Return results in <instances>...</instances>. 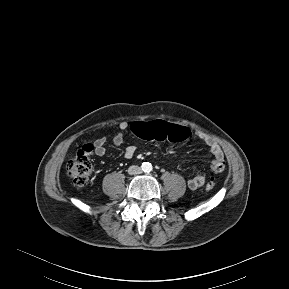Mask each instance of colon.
Masks as SVG:
<instances>
[{"mask_svg":"<svg viewBox=\"0 0 289 289\" xmlns=\"http://www.w3.org/2000/svg\"><path fill=\"white\" fill-rule=\"evenodd\" d=\"M133 132L138 137L172 142L184 141L189 137V131L186 128L172 125L169 121L162 119L138 120L133 125ZM93 149L91 144L84 145L78 150L75 157L67 163V174L78 189L85 187L89 181ZM205 188L207 190L214 189L215 182L209 180Z\"/></svg>","mask_w":289,"mask_h":289,"instance_id":"colon-1","label":"colon"}]
</instances>
